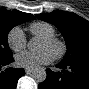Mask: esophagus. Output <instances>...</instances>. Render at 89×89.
I'll return each mask as SVG.
<instances>
[{
    "mask_svg": "<svg viewBox=\"0 0 89 89\" xmlns=\"http://www.w3.org/2000/svg\"><path fill=\"white\" fill-rule=\"evenodd\" d=\"M25 72H26L27 74H30V73L33 72V69H32V68H27V69L25 70Z\"/></svg>",
    "mask_w": 89,
    "mask_h": 89,
    "instance_id": "obj_1",
    "label": "esophagus"
}]
</instances>
